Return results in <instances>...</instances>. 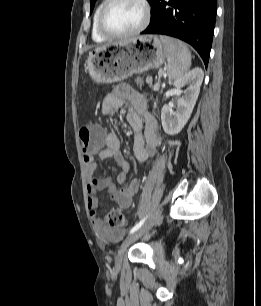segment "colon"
<instances>
[{"label": "colon", "instance_id": "obj_1", "mask_svg": "<svg viewBox=\"0 0 261 306\" xmlns=\"http://www.w3.org/2000/svg\"><path fill=\"white\" fill-rule=\"evenodd\" d=\"M81 148L85 155L100 150L104 133L100 126L95 124L83 125L79 130ZM108 223L113 228H124L127 223L126 215L119 210H112L108 214Z\"/></svg>", "mask_w": 261, "mask_h": 306}]
</instances>
